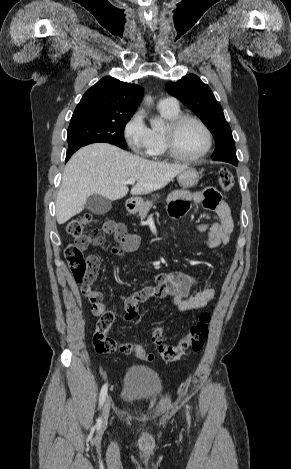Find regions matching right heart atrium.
I'll return each instance as SVG.
<instances>
[{"label":"right heart atrium","mask_w":291,"mask_h":469,"mask_svg":"<svg viewBox=\"0 0 291 469\" xmlns=\"http://www.w3.org/2000/svg\"><path fill=\"white\" fill-rule=\"evenodd\" d=\"M123 138L136 154L147 152L151 143V129L147 126L141 111L135 112L123 127Z\"/></svg>","instance_id":"d8ad5b80"}]
</instances>
